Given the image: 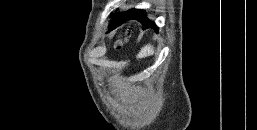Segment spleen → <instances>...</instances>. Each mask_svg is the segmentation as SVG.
<instances>
[{
  "label": "spleen",
  "mask_w": 257,
  "mask_h": 130,
  "mask_svg": "<svg viewBox=\"0 0 257 130\" xmlns=\"http://www.w3.org/2000/svg\"><path fill=\"white\" fill-rule=\"evenodd\" d=\"M154 52H155L154 47L150 44H147L141 48L140 52L137 54V58L142 59L148 56H152Z\"/></svg>",
  "instance_id": "3e777b00"
}]
</instances>
